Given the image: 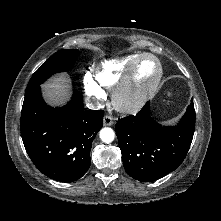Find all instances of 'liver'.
Returning a JSON list of instances; mask_svg holds the SVG:
<instances>
[{"label":"liver","instance_id":"1","mask_svg":"<svg viewBox=\"0 0 221 221\" xmlns=\"http://www.w3.org/2000/svg\"><path fill=\"white\" fill-rule=\"evenodd\" d=\"M70 88L69 80L62 75L54 77L43 85L45 97L52 103H59L65 100Z\"/></svg>","mask_w":221,"mask_h":221}]
</instances>
